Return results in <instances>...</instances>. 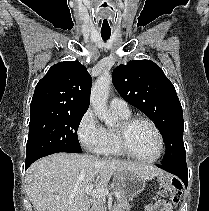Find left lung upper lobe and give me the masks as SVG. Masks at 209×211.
<instances>
[{
  "instance_id": "5c2ea615",
  "label": "left lung upper lobe",
  "mask_w": 209,
  "mask_h": 211,
  "mask_svg": "<svg viewBox=\"0 0 209 211\" xmlns=\"http://www.w3.org/2000/svg\"><path fill=\"white\" fill-rule=\"evenodd\" d=\"M113 84L125 101L152 119L166 143L162 164L186 160L183 113L176 90L153 61H129L112 74Z\"/></svg>"
}]
</instances>
